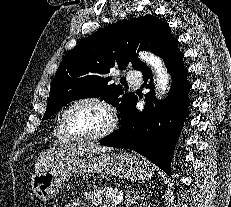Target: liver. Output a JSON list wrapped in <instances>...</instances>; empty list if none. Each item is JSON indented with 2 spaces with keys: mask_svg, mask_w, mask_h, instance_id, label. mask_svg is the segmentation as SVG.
<instances>
[{
  "mask_svg": "<svg viewBox=\"0 0 231 207\" xmlns=\"http://www.w3.org/2000/svg\"><path fill=\"white\" fill-rule=\"evenodd\" d=\"M111 150L112 148L110 147L97 144H84L81 146H70L57 150H47L37 159L35 169L41 170L43 168L51 167L58 159L68 155L93 154Z\"/></svg>",
  "mask_w": 231,
  "mask_h": 207,
  "instance_id": "liver-1",
  "label": "liver"
}]
</instances>
